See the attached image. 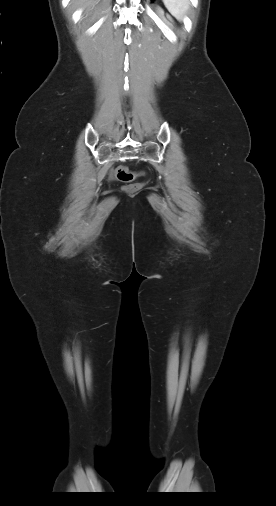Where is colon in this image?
Masks as SVG:
<instances>
[{"mask_svg":"<svg viewBox=\"0 0 276 506\" xmlns=\"http://www.w3.org/2000/svg\"><path fill=\"white\" fill-rule=\"evenodd\" d=\"M116 177L119 181L126 183L125 189L128 192H136L140 190L141 184L131 183L136 174L130 172L126 166H118L115 170Z\"/></svg>","mask_w":276,"mask_h":506,"instance_id":"obj_1","label":"colon"}]
</instances>
